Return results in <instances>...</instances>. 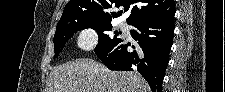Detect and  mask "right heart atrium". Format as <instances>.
Returning <instances> with one entry per match:
<instances>
[{
	"label": "right heart atrium",
	"mask_w": 225,
	"mask_h": 92,
	"mask_svg": "<svg viewBox=\"0 0 225 92\" xmlns=\"http://www.w3.org/2000/svg\"><path fill=\"white\" fill-rule=\"evenodd\" d=\"M99 40V31L94 27H87L78 32L76 43L79 49L89 51L93 49Z\"/></svg>",
	"instance_id": "d8ad5b80"
}]
</instances>
